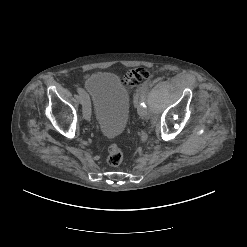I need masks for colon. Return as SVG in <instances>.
<instances>
[{"instance_id":"obj_1","label":"colon","mask_w":247,"mask_h":247,"mask_svg":"<svg viewBox=\"0 0 247 247\" xmlns=\"http://www.w3.org/2000/svg\"><path fill=\"white\" fill-rule=\"evenodd\" d=\"M149 77V72L145 68H136L127 71L123 76V81L127 86L134 87ZM123 161V151L121 147L112 143L108 147L107 163L110 166H118Z\"/></svg>"}]
</instances>
